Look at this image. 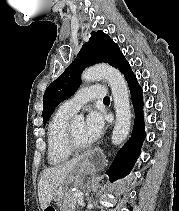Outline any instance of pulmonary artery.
I'll use <instances>...</instances> for the list:
<instances>
[{
	"label": "pulmonary artery",
	"instance_id": "e3ab8cb5",
	"mask_svg": "<svg viewBox=\"0 0 179 211\" xmlns=\"http://www.w3.org/2000/svg\"><path fill=\"white\" fill-rule=\"evenodd\" d=\"M107 96L103 85H92L80 89L72 98L66 100L60 108L71 114H75L85 103L94 99H104Z\"/></svg>",
	"mask_w": 179,
	"mask_h": 211
}]
</instances>
